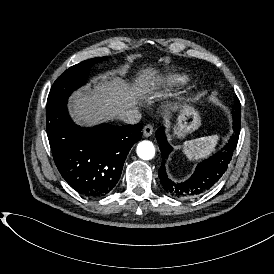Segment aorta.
I'll use <instances>...</instances> for the list:
<instances>
[{"mask_svg": "<svg viewBox=\"0 0 274 274\" xmlns=\"http://www.w3.org/2000/svg\"><path fill=\"white\" fill-rule=\"evenodd\" d=\"M137 155L143 160H150L155 155V148L152 142L144 140L137 146Z\"/></svg>", "mask_w": 274, "mask_h": 274, "instance_id": "obj_1", "label": "aorta"}]
</instances>
